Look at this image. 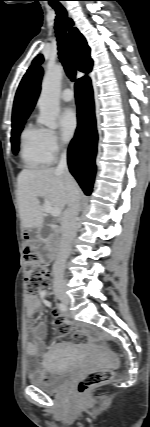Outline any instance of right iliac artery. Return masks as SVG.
Segmentation results:
<instances>
[{"label":"right iliac artery","mask_w":150,"mask_h":427,"mask_svg":"<svg viewBox=\"0 0 150 427\" xmlns=\"http://www.w3.org/2000/svg\"><path fill=\"white\" fill-rule=\"evenodd\" d=\"M58 306H59L60 310H62V311H66V306H65V304H63V303H59V304H58Z\"/></svg>","instance_id":"right-iliac-artery-1"}]
</instances>
